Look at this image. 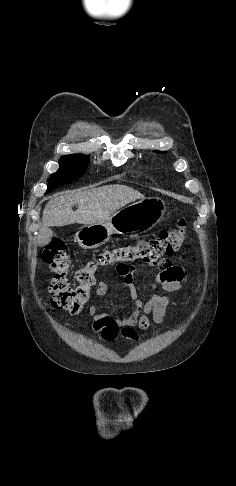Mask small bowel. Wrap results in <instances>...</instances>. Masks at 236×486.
I'll use <instances>...</instances> for the list:
<instances>
[{
  "mask_svg": "<svg viewBox=\"0 0 236 486\" xmlns=\"http://www.w3.org/2000/svg\"><path fill=\"white\" fill-rule=\"evenodd\" d=\"M147 264L158 268V272L154 276L150 298L147 301L139 299L133 284L136 267L132 265L117 266V272L123 277L124 284L129 291L127 298L131 301V307L125 318L118 319L109 313H99L97 305H92L89 308L92 328L101 333L104 338L114 339L120 335L125 339L137 341L139 333L135 330V327L147 330L151 326V322L157 325L162 323L171 299L168 295L160 294L158 288L166 292L178 291L185 279L186 272L181 266L174 265L169 259L151 261ZM108 290L107 282L100 281L96 288V295L102 297L107 294Z\"/></svg>",
  "mask_w": 236,
  "mask_h": 486,
  "instance_id": "small-bowel-1",
  "label": "small bowel"
}]
</instances>
